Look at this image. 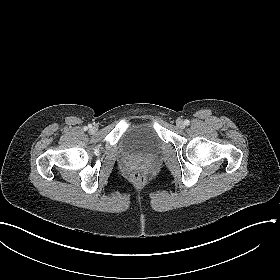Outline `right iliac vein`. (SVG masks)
Returning a JSON list of instances; mask_svg holds the SVG:
<instances>
[{"label":"right iliac vein","instance_id":"obj_1","mask_svg":"<svg viewBox=\"0 0 280 280\" xmlns=\"http://www.w3.org/2000/svg\"><path fill=\"white\" fill-rule=\"evenodd\" d=\"M90 132H91V133L97 132V127H95V126H94V127H91V128H90Z\"/></svg>","mask_w":280,"mask_h":280}]
</instances>
